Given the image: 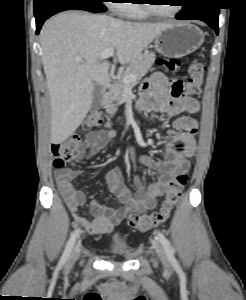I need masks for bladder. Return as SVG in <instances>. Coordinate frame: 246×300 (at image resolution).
<instances>
[{
  "mask_svg": "<svg viewBox=\"0 0 246 300\" xmlns=\"http://www.w3.org/2000/svg\"><path fill=\"white\" fill-rule=\"evenodd\" d=\"M108 243L114 253L130 256L127 238L124 235L116 233L109 239Z\"/></svg>",
  "mask_w": 246,
  "mask_h": 300,
  "instance_id": "bladder-1",
  "label": "bladder"
}]
</instances>
